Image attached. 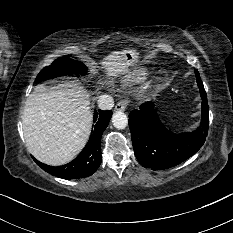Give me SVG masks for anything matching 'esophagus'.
<instances>
[{
	"mask_svg": "<svg viewBox=\"0 0 233 233\" xmlns=\"http://www.w3.org/2000/svg\"><path fill=\"white\" fill-rule=\"evenodd\" d=\"M128 100H121L115 106V111H124L128 106Z\"/></svg>",
	"mask_w": 233,
	"mask_h": 233,
	"instance_id": "obj_1",
	"label": "esophagus"
}]
</instances>
